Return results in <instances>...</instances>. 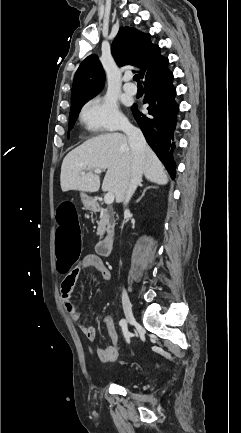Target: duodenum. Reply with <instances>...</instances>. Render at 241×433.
I'll return each instance as SVG.
<instances>
[{"mask_svg": "<svg viewBox=\"0 0 241 433\" xmlns=\"http://www.w3.org/2000/svg\"><path fill=\"white\" fill-rule=\"evenodd\" d=\"M89 206L93 210H99L100 206L96 201L89 200ZM114 244V238L112 235H107L97 244V251L102 256H109L111 254Z\"/></svg>", "mask_w": 241, "mask_h": 433, "instance_id": "obj_1", "label": "duodenum"}]
</instances>
